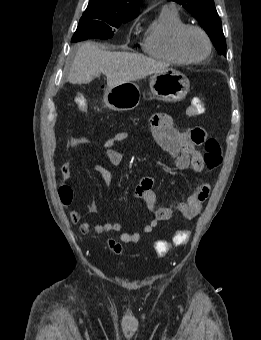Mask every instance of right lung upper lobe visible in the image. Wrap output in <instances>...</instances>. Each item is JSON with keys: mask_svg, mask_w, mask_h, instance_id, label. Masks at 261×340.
<instances>
[{"mask_svg": "<svg viewBox=\"0 0 261 340\" xmlns=\"http://www.w3.org/2000/svg\"><path fill=\"white\" fill-rule=\"evenodd\" d=\"M141 0H90L87 8L100 9L111 14L136 17Z\"/></svg>", "mask_w": 261, "mask_h": 340, "instance_id": "right-lung-upper-lobe-1", "label": "right lung upper lobe"}]
</instances>
